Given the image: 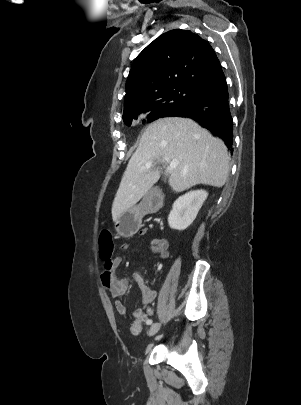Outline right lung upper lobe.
<instances>
[{
  "instance_id": "cb5924a9",
  "label": "right lung upper lobe",
  "mask_w": 301,
  "mask_h": 405,
  "mask_svg": "<svg viewBox=\"0 0 301 405\" xmlns=\"http://www.w3.org/2000/svg\"><path fill=\"white\" fill-rule=\"evenodd\" d=\"M224 79L211 45L191 31L174 29L155 39L135 59L126 82L124 112L157 93L177 88L205 92Z\"/></svg>"
}]
</instances>
